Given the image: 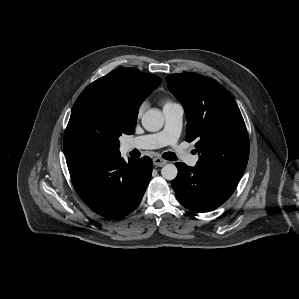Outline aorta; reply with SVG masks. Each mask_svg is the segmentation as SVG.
<instances>
[{
  "label": "aorta",
  "mask_w": 299,
  "mask_h": 299,
  "mask_svg": "<svg viewBox=\"0 0 299 299\" xmlns=\"http://www.w3.org/2000/svg\"><path fill=\"white\" fill-rule=\"evenodd\" d=\"M143 127L150 132L159 131L164 125V116L158 109H149L142 116ZM178 174L177 167L174 164H167L161 170V175L166 180H173Z\"/></svg>",
  "instance_id": "1"
}]
</instances>
